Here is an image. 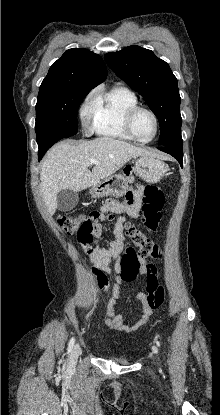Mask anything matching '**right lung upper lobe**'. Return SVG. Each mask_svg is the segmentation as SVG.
<instances>
[{"mask_svg":"<svg viewBox=\"0 0 220 415\" xmlns=\"http://www.w3.org/2000/svg\"><path fill=\"white\" fill-rule=\"evenodd\" d=\"M107 76L103 59L87 49L67 50L49 69L41 86H65L91 90Z\"/></svg>","mask_w":220,"mask_h":415,"instance_id":"right-lung-upper-lobe-1","label":"right lung upper lobe"}]
</instances>
